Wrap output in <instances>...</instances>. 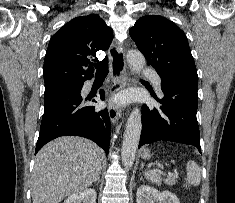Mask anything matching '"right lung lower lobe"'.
Here are the masks:
<instances>
[{
	"instance_id": "98d812e1",
	"label": "right lung lower lobe",
	"mask_w": 235,
	"mask_h": 203,
	"mask_svg": "<svg viewBox=\"0 0 235 203\" xmlns=\"http://www.w3.org/2000/svg\"><path fill=\"white\" fill-rule=\"evenodd\" d=\"M84 81L60 95L45 100L35 154L49 141L67 135L88 138L108 154L110 117L107 109L95 111L94 106L83 105L80 92ZM100 98H105L103 90L100 91Z\"/></svg>"
}]
</instances>
